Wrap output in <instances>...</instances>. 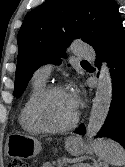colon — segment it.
<instances>
[{
	"label": "colon",
	"mask_w": 125,
	"mask_h": 167,
	"mask_svg": "<svg viewBox=\"0 0 125 167\" xmlns=\"http://www.w3.org/2000/svg\"><path fill=\"white\" fill-rule=\"evenodd\" d=\"M8 167H30L25 161L19 159H12L8 163Z\"/></svg>",
	"instance_id": "obj_1"
}]
</instances>
